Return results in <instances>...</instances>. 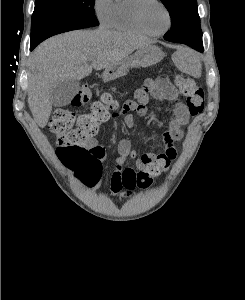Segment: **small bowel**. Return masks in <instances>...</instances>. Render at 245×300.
I'll return each mask as SVG.
<instances>
[{
    "mask_svg": "<svg viewBox=\"0 0 245 300\" xmlns=\"http://www.w3.org/2000/svg\"><path fill=\"white\" fill-rule=\"evenodd\" d=\"M151 97L158 102L171 101L174 104L173 115L167 130L160 139L155 141V151L153 152L137 156L128 139H121L118 142V156L115 159L114 168L110 176V191L114 196L130 194L137 187L136 178L139 173H146L150 177L158 176L167 170L170 162L176 157L175 143L182 139L190 116L186 105L180 99L179 93L166 76L146 79L144 84L135 91V100L123 103L111 115V119L122 118L128 127H134L135 120L133 115H146L151 106ZM88 147L98 151L100 162L105 159V149L96 140L92 139L89 141ZM128 159L135 160L134 167L126 166Z\"/></svg>",
    "mask_w": 245,
    "mask_h": 300,
    "instance_id": "c3829d8e",
    "label": "small bowel"
}]
</instances>
